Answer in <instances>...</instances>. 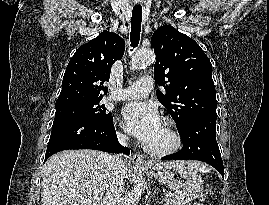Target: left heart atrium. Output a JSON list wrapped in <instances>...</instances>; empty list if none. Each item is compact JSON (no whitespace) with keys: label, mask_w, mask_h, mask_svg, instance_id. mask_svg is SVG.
<instances>
[{"label":"left heart atrium","mask_w":269,"mask_h":205,"mask_svg":"<svg viewBox=\"0 0 269 205\" xmlns=\"http://www.w3.org/2000/svg\"><path fill=\"white\" fill-rule=\"evenodd\" d=\"M122 118L125 129L147 145L155 138L162 125L156 105L148 102H132L125 105Z\"/></svg>","instance_id":"left-heart-atrium-1"}]
</instances>
